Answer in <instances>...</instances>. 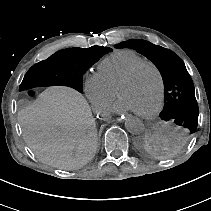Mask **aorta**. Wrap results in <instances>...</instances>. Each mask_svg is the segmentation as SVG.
<instances>
[{"label":"aorta","mask_w":211,"mask_h":211,"mask_svg":"<svg viewBox=\"0 0 211 211\" xmlns=\"http://www.w3.org/2000/svg\"><path fill=\"white\" fill-rule=\"evenodd\" d=\"M126 129L135 135L141 134L144 131L143 122L137 117H129L125 121Z\"/></svg>","instance_id":"obj_1"}]
</instances>
